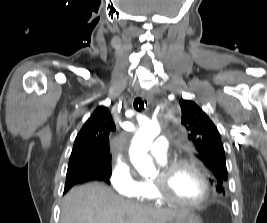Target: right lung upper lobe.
<instances>
[{
    "mask_svg": "<svg viewBox=\"0 0 267 223\" xmlns=\"http://www.w3.org/2000/svg\"><path fill=\"white\" fill-rule=\"evenodd\" d=\"M115 130V124L108 109L98 107L78 133L70 156L69 165L76 162H87L93 165L90 171L103 175L109 174L111 159L109 156L108 138Z\"/></svg>",
    "mask_w": 267,
    "mask_h": 223,
    "instance_id": "obj_1",
    "label": "right lung upper lobe"
}]
</instances>
